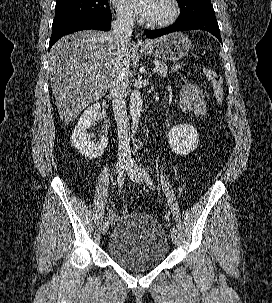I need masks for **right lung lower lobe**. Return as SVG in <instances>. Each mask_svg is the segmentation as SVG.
<instances>
[{
    "instance_id": "1",
    "label": "right lung lower lobe",
    "mask_w": 272,
    "mask_h": 303,
    "mask_svg": "<svg viewBox=\"0 0 272 303\" xmlns=\"http://www.w3.org/2000/svg\"><path fill=\"white\" fill-rule=\"evenodd\" d=\"M111 18H101L95 16L77 17L52 25V35L49 42V48L62 36L85 29L110 30Z\"/></svg>"
}]
</instances>
